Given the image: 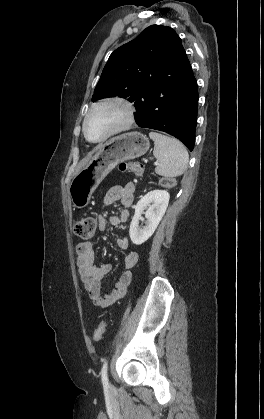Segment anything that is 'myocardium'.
Here are the masks:
<instances>
[{
    "label": "myocardium",
    "mask_w": 264,
    "mask_h": 419,
    "mask_svg": "<svg viewBox=\"0 0 264 419\" xmlns=\"http://www.w3.org/2000/svg\"><path fill=\"white\" fill-rule=\"evenodd\" d=\"M112 105H116L119 106L123 109L124 111V120L117 125L116 127H114L112 130H110L106 135H104L103 137L99 138V139H91L88 136L87 133V122L88 119L90 118V116L92 115V113L99 109V108H103V107H107V106H112ZM135 120V108L133 106V104L125 97L122 96H110V97H106L103 98L101 100H99L98 102L94 103L90 109L88 110L87 114L84 117L83 120V124H82V129H83V134L85 139L90 142V143H101L104 142L106 140H108L109 138L122 133L126 130H128L132 124L134 123Z\"/></svg>",
    "instance_id": "obj_1"
}]
</instances>
